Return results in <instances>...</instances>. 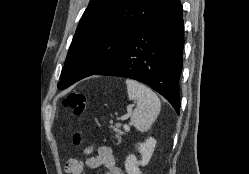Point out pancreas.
Listing matches in <instances>:
<instances>
[{
  "label": "pancreas",
  "mask_w": 249,
  "mask_h": 174,
  "mask_svg": "<svg viewBox=\"0 0 249 174\" xmlns=\"http://www.w3.org/2000/svg\"><path fill=\"white\" fill-rule=\"evenodd\" d=\"M110 128L113 129V131L115 132V137L120 141L121 140V136L124 134V132H122L119 128H120V124H116L115 126H111Z\"/></svg>",
  "instance_id": "obj_1"
}]
</instances>
